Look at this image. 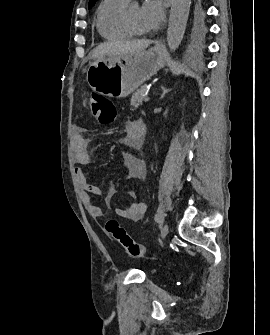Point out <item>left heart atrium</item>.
<instances>
[{"label":"left heart atrium","mask_w":270,"mask_h":335,"mask_svg":"<svg viewBox=\"0 0 270 335\" xmlns=\"http://www.w3.org/2000/svg\"><path fill=\"white\" fill-rule=\"evenodd\" d=\"M141 29L153 34L160 29L165 21V12L159 0H147L141 8Z\"/></svg>","instance_id":"39dd6f15"}]
</instances>
